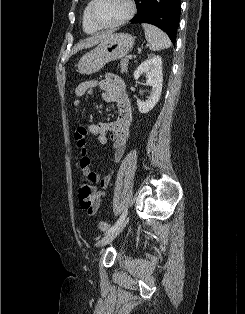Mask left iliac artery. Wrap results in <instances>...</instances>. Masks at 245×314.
Wrapping results in <instances>:
<instances>
[{"label":"left iliac artery","instance_id":"1","mask_svg":"<svg viewBox=\"0 0 245 314\" xmlns=\"http://www.w3.org/2000/svg\"><path fill=\"white\" fill-rule=\"evenodd\" d=\"M126 215H127V209L123 212V214L120 216L117 222L106 233L113 231L125 219Z\"/></svg>","mask_w":245,"mask_h":314}]
</instances>
